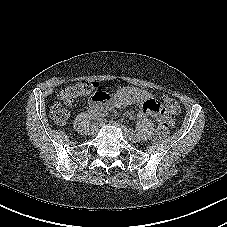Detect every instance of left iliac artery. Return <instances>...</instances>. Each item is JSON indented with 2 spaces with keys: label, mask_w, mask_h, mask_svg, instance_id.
I'll list each match as a JSON object with an SVG mask.
<instances>
[{
  "label": "left iliac artery",
  "mask_w": 227,
  "mask_h": 227,
  "mask_svg": "<svg viewBox=\"0 0 227 227\" xmlns=\"http://www.w3.org/2000/svg\"><path fill=\"white\" fill-rule=\"evenodd\" d=\"M133 137H136V140H141V135H138V132H133Z\"/></svg>",
  "instance_id": "left-iliac-artery-1"
}]
</instances>
